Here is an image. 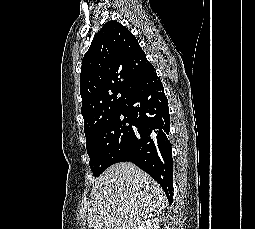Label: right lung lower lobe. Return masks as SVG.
Masks as SVG:
<instances>
[{
    "label": "right lung lower lobe",
    "instance_id": "right-lung-lower-lobe-1",
    "mask_svg": "<svg viewBox=\"0 0 255 229\" xmlns=\"http://www.w3.org/2000/svg\"><path fill=\"white\" fill-rule=\"evenodd\" d=\"M133 122L130 157L126 160L153 177L173 201V161L169 141L170 117L162 82L154 68L136 82L123 109Z\"/></svg>",
    "mask_w": 255,
    "mask_h": 229
}]
</instances>
